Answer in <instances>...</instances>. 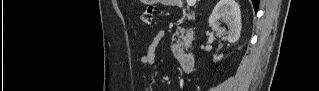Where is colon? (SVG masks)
I'll list each match as a JSON object with an SVG mask.
<instances>
[{"instance_id":"obj_1","label":"colon","mask_w":319,"mask_h":91,"mask_svg":"<svg viewBox=\"0 0 319 91\" xmlns=\"http://www.w3.org/2000/svg\"><path fill=\"white\" fill-rule=\"evenodd\" d=\"M154 7L148 6L140 15V20L142 23L146 25H151L153 22V16H154Z\"/></svg>"}]
</instances>
